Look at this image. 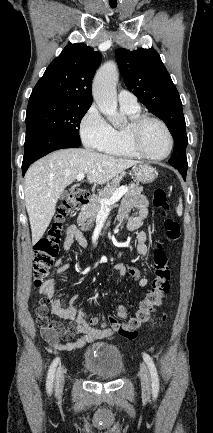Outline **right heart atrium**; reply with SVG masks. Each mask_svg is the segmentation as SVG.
Returning a JSON list of instances; mask_svg holds the SVG:
<instances>
[{
    "label": "right heart atrium",
    "mask_w": 213,
    "mask_h": 433,
    "mask_svg": "<svg viewBox=\"0 0 213 433\" xmlns=\"http://www.w3.org/2000/svg\"><path fill=\"white\" fill-rule=\"evenodd\" d=\"M110 127L98 107L91 105L83 115L79 125V132L84 145L91 149H100L109 136Z\"/></svg>",
    "instance_id": "right-heart-atrium-1"
}]
</instances>
